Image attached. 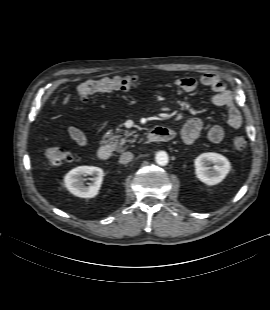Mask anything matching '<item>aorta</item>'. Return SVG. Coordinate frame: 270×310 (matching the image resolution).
Here are the masks:
<instances>
[{
  "label": "aorta",
  "instance_id": "obj_1",
  "mask_svg": "<svg viewBox=\"0 0 270 310\" xmlns=\"http://www.w3.org/2000/svg\"><path fill=\"white\" fill-rule=\"evenodd\" d=\"M155 159H156L157 164L160 166L167 165L168 160H169L168 155L165 151L157 152Z\"/></svg>",
  "mask_w": 270,
  "mask_h": 310
}]
</instances>
